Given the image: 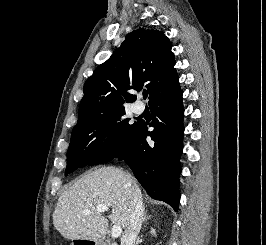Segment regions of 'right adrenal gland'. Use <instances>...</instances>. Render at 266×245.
Returning a JSON list of instances; mask_svg holds the SVG:
<instances>
[{
  "instance_id": "1",
  "label": "right adrenal gland",
  "mask_w": 266,
  "mask_h": 245,
  "mask_svg": "<svg viewBox=\"0 0 266 245\" xmlns=\"http://www.w3.org/2000/svg\"><path fill=\"white\" fill-rule=\"evenodd\" d=\"M150 217H151V215H147V211H146V213H145V215L143 217L144 223H147V221H148V219H150Z\"/></svg>"
}]
</instances>
